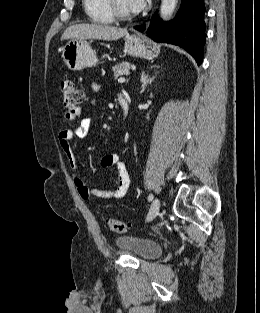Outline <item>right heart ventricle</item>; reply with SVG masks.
<instances>
[{
  "label": "right heart ventricle",
  "mask_w": 260,
  "mask_h": 313,
  "mask_svg": "<svg viewBox=\"0 0 260 313\" xmlns=\"http://www.w3.org/2000/svg\"><path fill=\"white\" fill-rule=\"evenodd\" d=\"M83 8L91 21L102 24L113 22L107 0H82Z\"/></svg>",
  "instance_id": "obj_1"
}]
</instances>
